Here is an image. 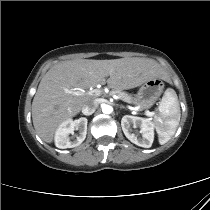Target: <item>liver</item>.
I'll use <instances>...</instances> for the list:
<instances>
[{"instance_id":"liver-1","label":"liver","mask_w":210,"mask_h":210,"mask_svg":"<svg viewBox=\"0 0 210 210\" xmlns=\"http://www.w3.org/2000/svg\"><path fill=\"white\" fill-rule=\"evenodd\" d=\"M164 74L153 60L121 58L113 60L78 59L54 65L42 78L32 102V120L39 137L51 143L57 128L76 116L95 95H74L107 82L114 90H127ZM109 77L107 80L106 78Z\"/></svg>"}]
</instances>
